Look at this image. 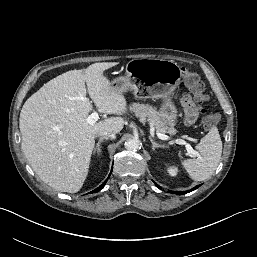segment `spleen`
Listing matches in <instances>:
<instances>
[{"label":"spleen","mask_w":257,"mask_h":257,"mask_svg":"<svg viewBox=\"0 0 257 257\" xmlns=\"http://www.w3.org/2000/svg\"><path fill=\"white\" fill-rule=\"evenodd\" d=\"M199 151L194 159L182 161V166L195 181H204L216 170L222 154V141L216 127L210 131L196 145Z\"/></svg>","instance_id":"3e777b00"}]
</instances>
